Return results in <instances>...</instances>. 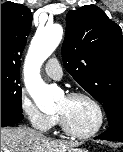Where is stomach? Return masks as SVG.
<instances>
[{
  "instance_id": "obj_1",
  "label": "stomach",
  "mask_w": 123,
  "mask_h": 152,
  "mask_svg": "<svg viewBox=\"0 0 123 152\" xmlns=\"http://www.w3.org/2000/svg\"><path fill=\"white\" fill-rule=\"evenodd\" d=\"M68 152H88V151L84 148H72Z\"/></svg>"
}]
</instances>
